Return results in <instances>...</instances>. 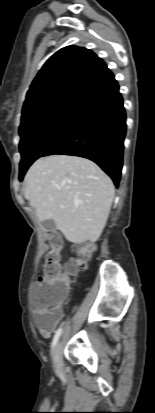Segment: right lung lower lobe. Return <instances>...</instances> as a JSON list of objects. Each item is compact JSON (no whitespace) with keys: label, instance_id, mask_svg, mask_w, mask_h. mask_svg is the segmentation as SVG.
Here are the masks:
<instances>
[{"label":"right lung lower lobe","instance_id":"98d812e1","mask_svg":"<svg viewBox=\"0 0 155 413\" xmlns=\"http://www.w3.org/2000/svg\"><path fill=\"white\" fill-rule=\"evenodd\" d=\"M126 114L119 86L111 80L77 106L69 123L43 156L74 155L97 163L119 185Z\"/></svg>","mask_w":155,"mask_h":413}]
</instances>
